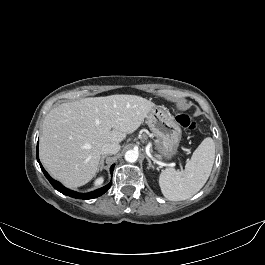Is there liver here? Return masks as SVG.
Returning a JSON list of instances; mask_svg holds the SVG:
<instances>
[{
  "mask_svg": "<svg viewBox=\"0 0 265 265\" xmlns=\"http://www.w3.org/2000/svg\"><path fill=\"white\" fill-rule=\"evenodd\" d=\"M155 104L136 95L90 97L53 108L45 117L40 159L50 175L77 188L96 174L101 149L137 130Z\"/></svg>",
  "mask_w": 265,
  "mask_h": 265,
  "instance_id": "1",
  "label": "liver"
}]
</instances>
